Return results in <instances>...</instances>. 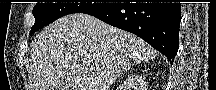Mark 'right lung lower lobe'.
I'll return each mask as SVG.
<instances>
[{"label":"right lung lower lobe","instance_id":"1","mask_svg":"<svg viewBox=\"0 0 216 90\" xmlns=\"http://www.w3.org/2000/svg\"><path fill=\"white\" fill-rule=\"evenodd\" d=\"M86 14L138 35L173 64L179 48L180 3H109Z\"/></svg>","mask_w":216,"mask_h":90}]
</instances>
